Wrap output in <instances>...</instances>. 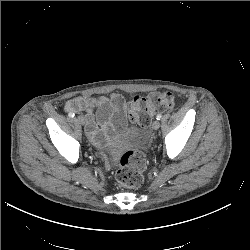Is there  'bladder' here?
I'll use <instances>...</instances> for the list:
<instances>
[{"label":"bladder","mask_w":250,"mask_h":250,"mask_svg":"<svg viewBox=\"0 0 250 250\" xmlns=\"http://www.w3.org/2000/svg\"><path fill=\"white\" fill-rule=\"evenodd\" d=\"M121 118L122 116L118 119L119 123ZM141 143V133L137 127L121 125L117 146L111 152L110 157L113 160L121 159L125 152L138 148Z\"/></svg>","instance_id":"31cf9c89"}]
</instances>
